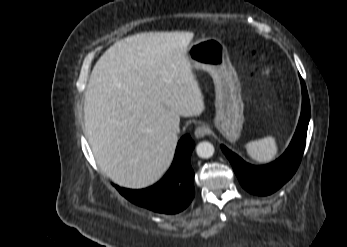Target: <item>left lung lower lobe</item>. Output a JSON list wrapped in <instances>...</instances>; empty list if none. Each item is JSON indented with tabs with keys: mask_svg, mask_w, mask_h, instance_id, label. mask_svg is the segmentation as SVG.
Returning a JSON list of instances; mask_svg holds the SVG:
<instances>
[{
	"mask_svg": "<svg viewBox=\"0 0 347 247\" xmlns=\"http://www.w3.org/2000/svg\"><path fill=\"white\" fill-rule=\"evenodd\" d=\"M301 85L303 101L299 123L290 145L280 158L264 166H253L243 161L224 145L221 146L232 164L240 184L252 194L266 196L274 193L291 179L300 164L310 118V103L302 78Z\"/></svg>",
	"mask_w": 347,
	"mask_h": 247,
	"instance_id": "0a47b994",
	"label": "left lung lower lobe"
}]
</instances>
